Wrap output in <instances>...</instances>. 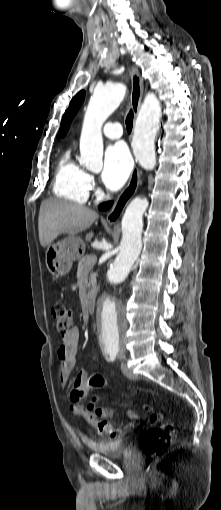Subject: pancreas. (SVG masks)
Here are the masks:
<instances>
[{
	"instance_id": "pancreas-1",
	"label": "pancreas",
	"mask_w": 221,
	"mask_h": 510,
	"mask_svg": "<svg viewBox=\"0 0 221 510\" xmlns=\"http://www.w3.org/2000/svg\"><path fill=\"white\" fill-rule=\"evenodd\" d=\"M91 257H92V255L87 254L79 259L78 273H83V272L89 273L91 271V269L93 268L94 263H95L90 260ZM91 282H92V280H91Z\"/></svg>"
}]
</instances>
